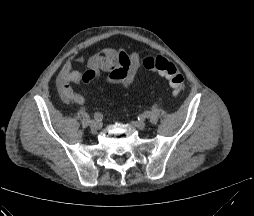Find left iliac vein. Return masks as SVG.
Listing matches in <instances>:
<instances>
[{"label":"left iliac vein","mask_w":254,"mask_h":216,"mask_svg":"<svg viewBox=\"0 0 254 216\" xmlns=\"http://www.w3.org/2000/svg\"><path fill=\"white\" fill-rule=\"evenodd\" d=\"M132 124L134 127L140 130H143L146 127V124L143 121L133 122Z\"/></svg>","instance_id":"obj_1"}]
</instances>
